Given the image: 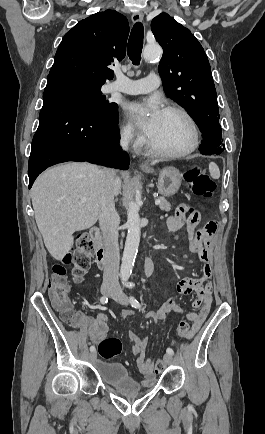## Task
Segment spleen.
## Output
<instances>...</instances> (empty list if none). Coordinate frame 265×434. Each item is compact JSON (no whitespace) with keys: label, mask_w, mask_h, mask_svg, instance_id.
<instances>
[{"label":"spleen","mask_w":265,"mask_h":434,"mask_svg":"<svg viewBox=\"0 0 265 434\" xmlns=\"http://www.w3.org/2000/svg\"><path fill=\"white\" fill-rule=\"evenodd\" d=\"M209 172L211 174V178H214V180H218V178H220V170L217 164H214V162H210Z\"/></svg>","instance_id":"spleen-1"}]
</instances>
